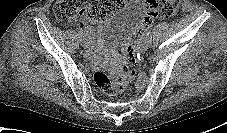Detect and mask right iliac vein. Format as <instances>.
Returning a JSON list of instances; mask_svg holds the SVG:
<instances>
[{
  "mask_svg": "<svg viewBox=\"0 0 227 133\" xmlns=\"http://www.w3.org/2000/svg\"><path fill=\"white\" fill-rule=\"evenodd\" d=\"M81 44L84 48H87L89 46V42L85 36L81 38Z\"/></svg>",
  "mask_w": 227,
  "mask_h": 133,
  "instance_id": "63e3f726",
  "label": "right iliac vein"
}]
</instances>
